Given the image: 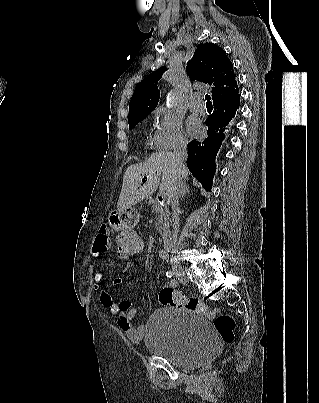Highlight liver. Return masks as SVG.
<instances>
[{"label": "liver", "mask_w": 319, "mask_h": 403, "mask_svg": "<svg viewBox=\"0 0 319 403\" xmlns=\"http://www.w3.org/2000/svg\"><path fill=\"white\" fill-rule=\"evenodd\" d=\"M186 165L178 166L174 162L173 153L156 152L143 163L129 166L124 174L118 210H125L150 196L160 185V190L169 196L176 177L188 178ZM160 176L162 181L160 183ZM146 177V178H144ZM143 179L145 181L143 182Z\"/></svg>", "instance_id": "6515ba94"}]
</instances>
